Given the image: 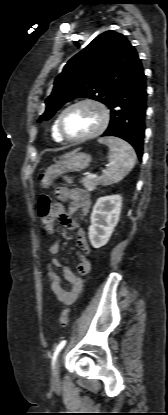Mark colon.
Segmentation results:
<instances>
[{"label": "colon", "mask_w": 168, "mask_h": 415, "mask_svg": "<svg viewBox=\"0 0 168 415\" xmlns=\"http://www.w3.org/2000/svg\"><path fill=\"white\" fill-rule=\"evenodd\" d=\"M70 181V178H65ZM55 206L52 204L50 197L47 194H42L38 201V215L41 219V224L44 230H47L53 223L55 217ZM70 309L63 310L60 316V324L66 327L69 322Z\"/></svg>", "instance_id": "1"}]
</instances>
